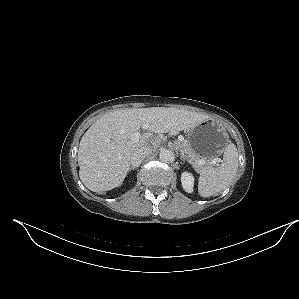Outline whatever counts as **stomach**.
<instances>
[{
    "instance_id": "obj_1",
    "label": "stomach",
    "mask_w": 299,
    "mask_h": 299,
    "mask_svg": "<svg viewBox=\"0 0 299 299\" xmlns=\"http://www.w3.org/2000/svg\"><path fill=\"white\" fill-rule=\"evenodd\" d=\"M187 138L192 149L205 160L220 156L229 144L228 133L212 118L188 129Z\"/></svg>"
}]
</instances>
